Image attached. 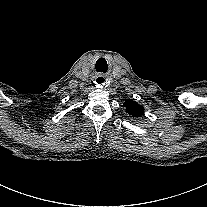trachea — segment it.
<instances>
[{
	"label": "trachea",
	"mask_w": 207,
	"mask_h": 207,
	"mask_svg": "<svg viewBox=\"0 0 207 207\" xmlns=\"http://www.w3.org/2000/svg\"><path fill=\"white\" fill-rule=\"evenodd\" d=\"M99 61H105L104 59H99Z\"/></svg>",
	"instance_id": "3493384b"
}]
</instances>
